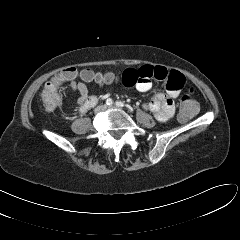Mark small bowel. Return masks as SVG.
<instances>
[{
  "label": "small bowel",
  "mask_w": 240,
  "mask_h": 240,
  "mask_svg": "<svg viewBox=\"0 0 240 240\" xmlns=\"http://www.w3.org/2000/svg\"><path fill=\"white\" fill-rule=\"evenodd\" d=\"M84 82L70 81L73 91L79 93L77 104L83 107L90 96L89 89L85 82L95 81L101 86L110 87L118 81V77L112 72L94 74L92 71H85L82 76ZM152 79L166 82V93H156L143 104L145 110L153 113L160 122L169 121L175 114L174 99L181 93L186 85L184 75L175 70H168L163 66L145 65L140 68H128L121 77V82L127 87H135L140 92H147L152 87ZM192 91V89H190Z\"/></svg>",
  "instance_id": "1"
}]
</instances>
